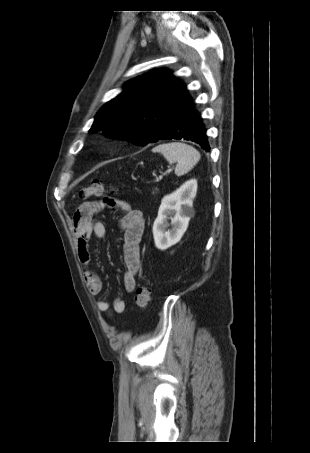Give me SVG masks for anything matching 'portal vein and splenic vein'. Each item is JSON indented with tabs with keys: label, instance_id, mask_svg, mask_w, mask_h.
Here are the masks:
<instances>
[{
	"label": "portal vein and splenic vein",
	"instance_id": "18ae733b",
	"mask_svg": "<svg viewBox=\"0 0 310 453\" xmlns=\"http://www.w3.org/2000/svg\"><path fill=\"white\" fill-rule=\"evenodd\" d=\"M171 171V169L169 168L165 173H163L162 175L159 176V179H162L163 175L169 173Z\"/></svg>",
	"mask_w": 310,
	"mask_h": 453
}]
</instances>
